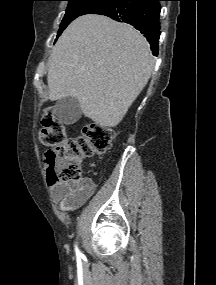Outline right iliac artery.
<instances>
[{
    "mask_svg": "<svg viewBox=\"0 0 216 285\" xmlns=\"http://www.w3.org/2000/svg\"><path fill=\"white\" fill-rule=\"evenodd\" d=\"M75 251H76V255H77V256H80V255H81V253H80L79 249L77 248V246H75Z\"/></svg>",
    "mask_w": 216,
    "mask_h": 285,
    "instance_id": "1",
    "label": "right iliac artery"
}]
</instances>
